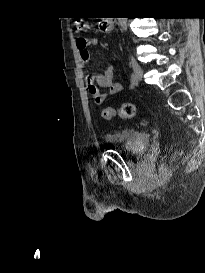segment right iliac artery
<instances>
[{
    "label": "right iliac artery",
    "instance_id": "82829eb1",
    "mask_svg": "<svg viewBox=\"0 0 205 273\" xmlns=\"http://www.w3.org/2000/svg\"><path fill=\"white\" fill-rule=\"evenodd\" d=\"M131 84H132L133 86L137 84V80H136L134 74L131 75Z\"/></svg>",
    "mask_w": 205,
    "mask_h": 273
}]
</instances>
